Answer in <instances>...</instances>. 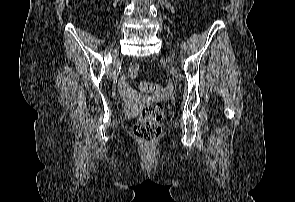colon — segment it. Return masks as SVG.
Returning a JSON list of instances; mask_svg holds the SVG:
<instances>
[{
  "instance_id": "obj_1",
  "label": "colon",
  "mask_w": 295,
  "mask_h": 202,
  "mask_svg": "<svg viewBox=\"0 0 295 202\" xmlns=\"http://www.w3.org/2000/svg\"><path fill=\"white\" fill-rule=\"evenodd\" d=\"M128 75L136 78L140 73V66L137 63H130ZM139 88L145 92L162 93L163 88L153 82H142ZM151 107H142L140 117L133 126V135L143 143L150 144L156 141L161 135L160 121L163 116V106L159 101H150Z\"/></svg>"
}]
</instances>
